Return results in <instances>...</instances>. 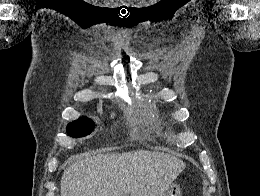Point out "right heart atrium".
I'll return each instance as SVG.
<instances>
[{
    "mask_svg": "<svg viewBox=\"0 0 260 196\" xmlns=\"http://www.w3.org/2000/svg\"><path fill=\"white\" fill-rule=\"evenodd\" d=\"M137 192H148V190H137Z\"/></svg>",
    "mask_w": 260,
    "mask_h": 196,
    "instance_id": "obj_1",
    "label": "right heart atrium"
}]
</instances>
